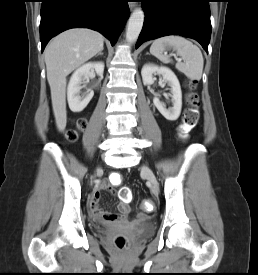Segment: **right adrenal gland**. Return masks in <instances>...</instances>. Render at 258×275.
Returning <instances> with one entry per match:
<instances>
[{"instance_id":"right-adrenal-gland-1","label":"right adrenal gland","mask_w":258,"mask_h":275,"mask_svg":"<svg viewBox=\"0 0 258 275\" xmlns=\"http://www.w3.org/2000/svg\"><path fill=\"white\" fill-rule=\"evenodd\" d=\"M99 55H103L102 50L97 54V56H99Z\"/></svg>"}]
</instances>
